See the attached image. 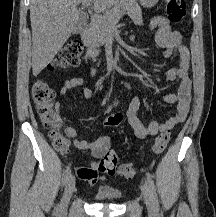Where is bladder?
I'll list each match as a JSON object with an SVG mask.
<instances>
[{"label":"bladder","instance_id":"obj_1","mask_svg":"<svg viewBox=\"0 0 216 217\" xmlns=\"http://www.w3.org/2000/svg\"><path fill=\"white\" fill-rule=\"evenodd\" d=\"M121 196V192L111 189H99L94 193V197L100 201H116Z\"/></svg>","mask_w":216,"mask_h":217}]
</instances>
